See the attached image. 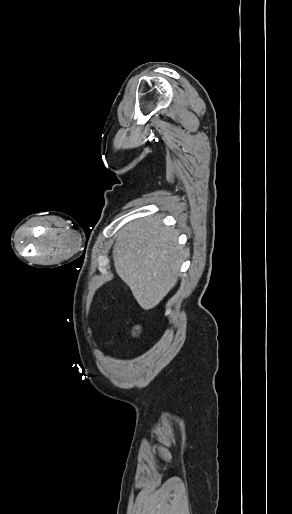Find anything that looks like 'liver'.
<instances>
[{"mask_svg":"<svg viewBox=\"0 0 292 514\" xmlns=\"http://www.w3.org/2000/svg\"><path fill=\"white\" fill-rule=\"evenodd\" d=\"M186 256L178 232L164 228L160 216L127 224L113 250L115 270L143 310H152L177 284Z\"/></svg>","mask_w":292,"mask_h":514,"instance_id":"1","label":"liver"}]
</instances>
